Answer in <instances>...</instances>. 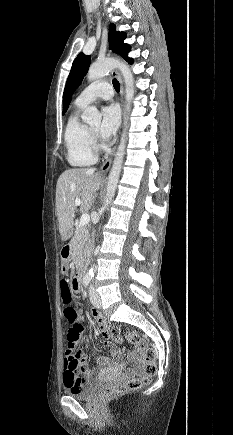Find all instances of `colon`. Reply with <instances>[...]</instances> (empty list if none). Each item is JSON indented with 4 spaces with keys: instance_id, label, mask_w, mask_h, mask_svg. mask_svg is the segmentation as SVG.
<instances>
[{
    "instance_id": "colon-1",
    "label": "colon",
    "mask_w": 233,
    "mask_h": 435,
    "mask_svg": "<svg viewBox=\"0 0 233 435\" xmlns=\"http://www.w3.org/2000/svg\"><path fill=\"white\" fill-rule=\"evenodd\" d=\"M68 304V307L65 309V317L67 321L73 322L78 313L74 307L70 305L72 299L71 295H68L64 299ZM111 335L113 339L117 343H121L123 341L121 331L117 327H113L111 329ZM125 338L128 342L137 343L140 348L143 349L144 359L146 361V366L144 368L143 374L138 378H130L121 383H113L106 386L101 392V399L104 401L114 399L118 396L139 390L143 385L149 384L155 373H156V350L152 347H147L142 341L138 340V336L133 331H128L125 334ZM75 346L73 344L67 343L65 346V353L74 354ZM75 383L80 384V380L76 379Z\"/></svg>"
}]
</instances>
